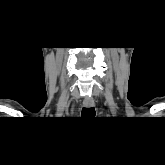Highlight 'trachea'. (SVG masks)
Segmentation results:
<instances>
[{
  "mask_svg": "<svg viewBox=\"0 0 165 165\" xmlns=\"http://www.w3.org/2000/svg\"><path fill=\"white\" fill-rule=\"evenodd\" d=\"M82 116L83 117H94L95 116V109L93 107L83 108L82 109Z\"/></svg>",
  "mask_w": 165,
  "mask_h": 165,
  "instance_id": "1",
  "label": "trachea"
}]
</instances>
